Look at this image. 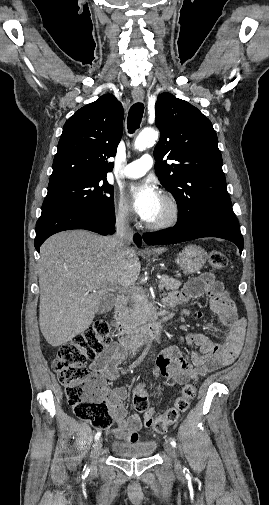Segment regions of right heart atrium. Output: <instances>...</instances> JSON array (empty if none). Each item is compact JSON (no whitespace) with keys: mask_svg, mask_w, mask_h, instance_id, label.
Listing matches in <instances>:
<instances>
[{"mask_svg":"<svg viewBox=\"0 0 269 505\" xmlns=\"http://www.w3.org/2000/svg\"><path fill=\"white\" fill-rule=\"evenodd\" d=\"M114 211H115V216L116 219L122 223V224H128L132 220V213L127 205V203L124 201V199L119 198L115 201L114 204Z\"/></svg>","mask_w":269,"mask_h":505,"instance_id":"obj_1","label":"right heart atrium"}]
</instances>
